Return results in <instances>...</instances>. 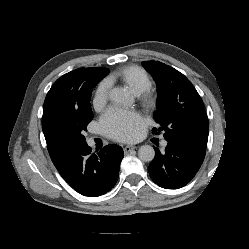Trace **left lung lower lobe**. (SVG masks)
Here are the masks:
<instances>
[{"label":"left lung lower lobe","instance_id":"1","mask_svg":"<svg viewBox=\"0 0 249 249\" xmlns=\"http://www.w3.org/2000/svg\"><path fill=\"white\" fill-rule=\"evenodd\" d=\"M205 153L206 149L168 141L164 153L155 148V158L151 161L148 172L160 187L178 189L193 179L202 165Z\"/></svg>","mask_w":249,"mask_h":249}]
</instances>
